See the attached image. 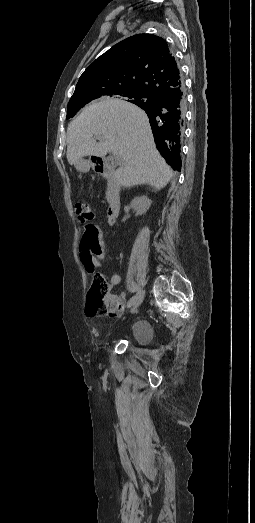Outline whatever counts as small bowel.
I'll use <instances>...</instances> for the list:
<instances>
[{"label":"small bowel","mask_w":255,"mask_h":523,"mask_svg":"<svg viewBox=\"0 0 255 523\" xmlns=\"http://www.w3.org/2000/svg\"><path fill=\"white\" fill-rule=\"evenodd\" d=\"M95 215H93V218ZM107 223L108 219H106ZM80 260L88 273H93L97 268L101 266V261L105 259V247L103 242L102 231L100 227L93 222H87L84 224V231L80 242ZM121 277L119 274L114 273L110 277L112 285L120 283ZM125 295L122 294L119 297L121 305L123 304Z\"/></svg>","instance_id":"c3829d8e"}]
</instances>
